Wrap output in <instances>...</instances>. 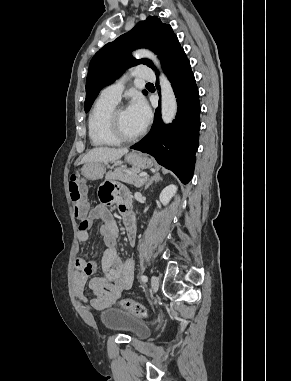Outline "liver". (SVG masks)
Here are the masks:
<instances>
[{
    "instance_id": "6515ba94",
    "label": "liver",
    "mask_w": 291,
    "mask_h": 381,
    "mask_svg": "<svg viewBox=\"0 0 291 381\" xmlns=\"http://www.w3.org/2000/svg\"><path fill=\"white\" fill-rule=\"evenodd\" d=\"M128 153V149L121 148H109V147H97L91 149L85 154L80 164H87L92 162L107 163L120 159L123 155Z\"/></svg>"
}]
</instances>
